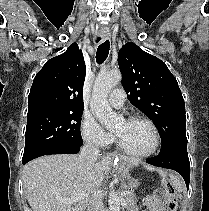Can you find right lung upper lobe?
Instances as JSON below:
<instances>
[{
	"label": "right lung upper lobe",
	"instance_id": "cb5924a9",
	"mask_svg": "<svg viewBox=\"0 0 209 211\" xmlns=\"http://www.w3.org/2000/svg\"><path fill=\"white\" fill-rule=\"evenodd\" d=\"M85 73L82 51L73 43L36 74L28 97V113L83 110Z\"/></svg>",
	"mask_w": 209,
	"mask_h": 211
}]
</instances>
